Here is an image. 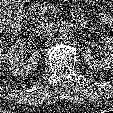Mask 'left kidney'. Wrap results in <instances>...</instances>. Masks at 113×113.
Wrapping results in <instances>:
<instances>
[{
	"instance_id": "obj_1",
	"label": "left kidney",
	"mask_w": 113,
	"mask_h": 113,
	"mask_svg": "<svg viewBox=\"0 0 113 113\" xmlns=\"http://www.w3.org/2000/svg\"><path fill=\"white\" fill-rule=\"evenodd\" d=\"M103 45V58L96 60L91 53L90 49L84 51L85 62L90 69L93 70H108L113 68V39L105 37L102 40Z\"/></svg>"
}]
</instances>
